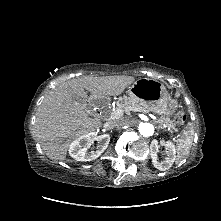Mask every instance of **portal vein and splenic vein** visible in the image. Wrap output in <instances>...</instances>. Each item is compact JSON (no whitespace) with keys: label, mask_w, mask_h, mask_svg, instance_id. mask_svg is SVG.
<instances>
[{"label":"portal vein and splenic vein","mask_w":221,"mask_h":221,"mask_svg":"<svg viewBox=\"0 0 221 221\" xmlns=\"http://www.w3.org/2000/svg\"><path fill=\"white\" fill-rule=\"evenodd\" d=\"M124 111L122 109H116L115 111L112 112V119H118L123 115ZM149 117H151L152 119L156 120V117L153 115H149ZM164 127H167L166 125H164ZM168 130H170V128H168Z\"/></svg>","instance_id":"portal-vein-and-splenic-vein-1"}]
</instances>
